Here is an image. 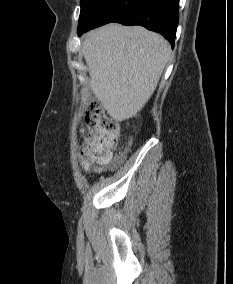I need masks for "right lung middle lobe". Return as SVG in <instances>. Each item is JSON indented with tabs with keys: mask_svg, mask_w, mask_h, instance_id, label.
<instances>
[{
	"mask_svg": "<svg viewBox=\"0 0 233 284\" xmlns=\"http://www.w3.org/2000/svg\"><path fill=\"white\" fill-rule=\"evenodd\" d=\"M110 0H81V12L78 23V30L86 27L93 17L109 2Z\"/></svg>",
	"mask_w": 233,
	"mask_h": 284,
	"instance_id": "right-lung-middle-lobe-1",
	"label": "right lung middle lobe"
}]
</instances>
